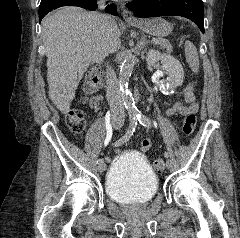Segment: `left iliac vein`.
Instances as JSON below:
<instances>
[{"instance_id": "4c4485c4", "label": "left iliac vein", "mask_w": 240, "mask_h": 238, "mask_svg": "<svg viewBox=\"0 0 240 238\" xmlns=\"http://www.w3.org/2000/svg\"><path fill=\"white\" fill-rule=\"evenodd\" d=\"M166 167L168 168V169H171V167H172V162H171V160H167L166 161Z\"/></svg>"}]
</instances>
